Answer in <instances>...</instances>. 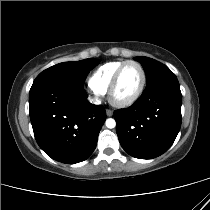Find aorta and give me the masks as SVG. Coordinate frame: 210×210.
I'll use <instances>...</instances> for the list:
<instances>
[{
  "instance_id": "obj_1",
  "label": "aorta",
  "mask_w": 210,
  "mask_h": 210,
  "mask_svg": "<svg viewBox=\"0 0 210 210\" xmlns=\"http://www.w3.org/2000/svg\"><path fill=\"white\" fill-rule=\"evenodd\" d=\"M106 126L108 127V128H114L115 126H116V122H115V120L114 119H112V118H109V119H107L106 120Z\"/></svg>"
}]
</instances>
